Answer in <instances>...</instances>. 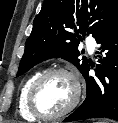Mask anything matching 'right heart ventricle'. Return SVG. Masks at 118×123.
Returning a JSON list of instances; mask_svg holds the SVG:
<instances>
[{
	"label": "right heart ventricle",
	"mask_w": 118,
	"mask_h": 123,
	"mask_svg": "<svg viewBox=\"0 0 118 123\" xmlns=\"http://www.w3.org/2000/svg\"><path fill=\"white\" fill-rule=\"evenodd\" d=\"M40 74H41L40 72H35L32 75H30L22 84L18 96L17 105H18L19 114L22 118L29 121H35L38 119L28 109L27 96L32 83Z\"/></svg>",
	"instance_id": "e07e8e85"
}]
</instances>
